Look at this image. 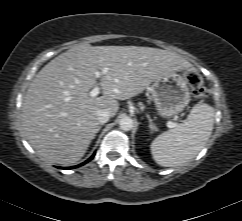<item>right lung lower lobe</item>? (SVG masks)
I'll return each instance as SVG.
<instances>
[{"label":"right lung lower lobe","mask_w":242,"mask_h":221,"mask_svg":"<svg viewBox=\"0 0 242 221\" xmlns=\"http://www.w3.org/2000/svg\"><path fill=\"white\" fill-rule=\"evenodd\" d=\"M95 154H93L86 162H83L77 166H73V167H65L64 169H71V168H76V167H79V166H82L84 165L85 163H87L88 161H90L93 157H94Z\"/></svg>","instance_id":"1"}]
</instances>
